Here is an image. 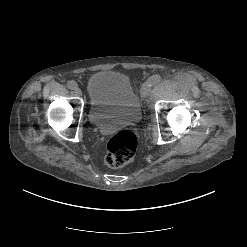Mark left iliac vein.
<instances>
[{"instance_id":"obj_1","label":"left iliac vein","mask_w":247,"mask_h":247,"mask_svg":"<svg viewBox=\"0 0 247 247\" xmlns=\"http://www.w3.org/2000/svg\"><path fill=\"white\" fill-rule=\"evenodd\" d=\"M151 91V88L148 83L144 84L141 88V96L143 98L147 97Z\"/></svg>"}]
</instances>
